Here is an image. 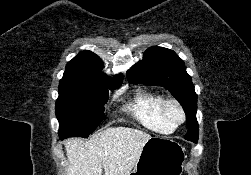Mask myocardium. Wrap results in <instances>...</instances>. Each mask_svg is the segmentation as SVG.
I'll return each instance as SVG.
<instances>
[{"label": "myocardium", "mask_w": 251, "mask_h": 175, "mask_svg": "<svg viewBox=\"0 0 251 175\" xmlns=\"http://www.w3.org/2000/svg\"><path fill=\"white\" fill-rule=\"evenodd\" d=\"M171 105H174L175 107H177V109L179 110L181 114V118L172 126L174 129H177L186 122L187 111L184 105L178 99L176 98L163 99L160 105V114H161L162 119L167 123L169 122L168 108Z\"/></svg>", "instance_id": "myocardium-1"}]
</instances>
